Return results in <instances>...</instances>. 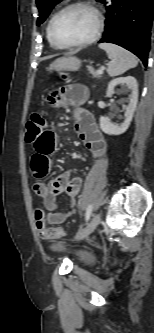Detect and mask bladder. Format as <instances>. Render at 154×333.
I'll list each match as a JSON object with an SVG mask.
<instances>
[{"label": "bladder", "mask_w": 154, "mask_h": 333, "mask_svg": "<svg viewBox=\"0 0 154 333\" xmlns=\"http://www.w3.org/2000/svg\"><path fill=\"white\" fill-rule=\"evenodd\" d=\"M51 248L54 251H65L67 249V243L58 240L51 244ZM93 258L91 254L86 250H75L73 252V262L80 266H88L92 263Z\"/></svg>", "instance_id": "31cf9c89"}]
</instances>
